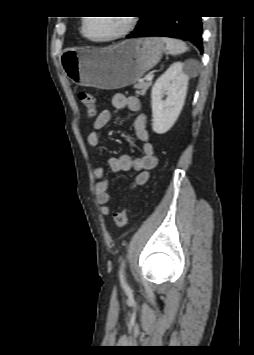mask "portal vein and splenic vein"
I'll use <instances>...</instances> for the list:
<instances>
[{
  "mask_svg": "<svg viewBox=\"0 0 254 355\" xmlns=\"http://www.w3.org/2000/svg\"><path fill=\"white\" fill-rule=\"evenodd\" d=\"M152 75H147V77H146V79L148 80V81H151L152 80Z\"/></svg>",
  "mask_w": 254,
  "mask_h": 355,
  "instance_id": "portal-vein-and-splenic-vein-1",
  "label": "portal vein and splenic vein"
}]
</instances>
